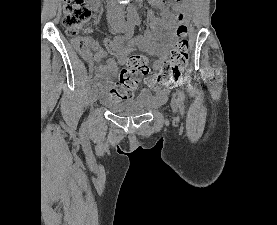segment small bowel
I'll return each instance as SVG.
<instances>
[{"label":"small bowel","instance_id":"c3829d8e","mask_svg":"<svg viewBox=\"0 0 277 225\" xmlns=\"http://www.w3.org/2000/svg\"><path fill=\"white\" fill-rule=\"evenodd\" d=\"M148 1L155 7L161 8L164 5V0ZM89 5L95 12H99L100 7L97 0H89ZM173 8L180 9L182 6L174 3ZM183 8V13L188 17V8ZM173 40L174 25L172 14L165 10L162 18L151 16L149 30L144 35L137 36L128 41L125 38L117 37L113 41L106 39L104 41L105 50L99 51L95 55L82 52L81 56L89 65L95 68L94 79L98 88L105 93L117 72V63L123 61L126 57L127 50L123 48L125 42L128 43L130 48H137L156 56L157 60L154 63V68L159 69L167 57L168 47ZM107 54H110L113 57L107 59L106 62L102 64L101 61L107 56ZM146 82L147 85L155 91L157 102H163L167 97L168 88L157 87L155 81L151 78Z\"/></svg>","mask_w":277,"mask_h":225}]
</instances>
